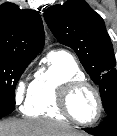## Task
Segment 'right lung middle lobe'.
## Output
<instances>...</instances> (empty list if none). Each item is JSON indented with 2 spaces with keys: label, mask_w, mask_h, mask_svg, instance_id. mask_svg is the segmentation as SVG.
<instances>
[{
  "label": "right lung middle lobe",
  "mask_w": 117,
  "mask_h": 136,
  "mask_svg": "<svg viewBox=\"0 0 117 136\" xmlns=\"http://www.w3.org/2000/svg\"><path fill=\"white\" fill-rule=\"evenodd\" d=\"M30 61L0 56V101L15 103L16 84Z\"/></svg>",
  "instance_id": "1"
}]
</instances>
